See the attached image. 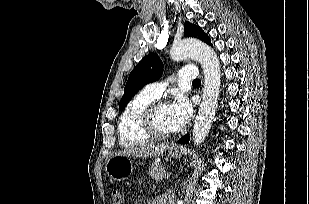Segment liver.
I'll return each mask as SVG.
<instances>
[{
    "instance_id": "1",
    "label": "liver",
    "mask_w": 309,
    "mask_h": 204,
    "mask_svg": "<svg viewBox=\"0 0 309 204\" xmlns=\"http://www.w3.org/2000/svg\"><path fill=\"white\" fill-rule=\"evenodd\" d=\"M168 148V143L143 145L139 147H131L119 152V155L132 157L151 158L162 155Z\"/></svg>"
}]
</instances>
